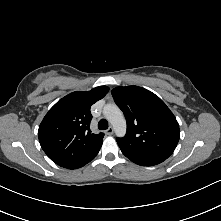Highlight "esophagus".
Wrapping results in <instances>:
<instances>
[{
    "instance_id": "1",
    "label": "esophagus",
    "mask_w": 221,
    "mask_h": 221,
    "mask_svg": "<svg viewBox=\"0 0 221 221\" xmlns=\"http://www.w3.org/2000/svg\"><path fill=\"white\" fill-rule=\"evenodd\" d=\"M107 135H112L114 133V129L112 127H109L106 132Z\"/></svg>"
}]
</instances>
